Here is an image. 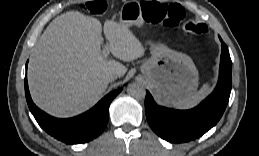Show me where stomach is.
Instances as JSON below:
<instances>
[{
    "label": "stomach",
    "mask_w": 259,
    "mask_h": 156,
    "mask_svg": "<svg viewBox=\"0 0 259 156\" xmlns=\"http://www.w3.org/2000/svg\"><path fill=\"white\" fill-rule=\"evenodd\" d=\"M141 22V15L134 9V4L126 3L121 11L120 23L129 26ZM151 54L141 71L165 103L172 105L195 93L199 76L189 56L162 44H152Z\"/></svg>",
    "instance_id": "obj_1"
}]
</instances>
